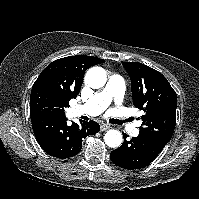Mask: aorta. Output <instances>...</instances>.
Instances as JSON below:
<instances>
[{"instance_id":"762f6f07","label":"aorta","mask_w":199,"mask_h":199,"mask_svg":"<svg viewBox=\"0 0 199 199\" xmlns=\"http://www.w3.org/2000/svg\"><path fill=\"white\" fill-rule=\"evenodd\" d=\"M106 81V72L101 67H92L85 75V83L93 89L103 87L106 84ZM122 140V134L115 129L107 131L104 136L106 145L111 148H118L122 144Z\"/></svg>"}]
</instances>
